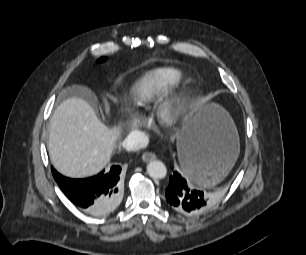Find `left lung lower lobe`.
<instances>
[{
    "label": "left lung lower lobe",
    "instance_id": "0a47b994",
    "mask_svg": "<svg viewBox=\"0 0 306 255\" xmlns=\"http://www.w3.org/2000/svg\"><path fill=\"white\" fill-rule=\"evenodd\" d=\"M213 162L200 151L188 147L183 155L182 175L175 171L169 178L166 200L176 212L186 215H198L206 211L213 203L211 195L191 189L186 179L191 176L206 177L212 174Z\"/></svg>",
    "mask_w": 306,
    "mask_h": 255
}]
</instances>
